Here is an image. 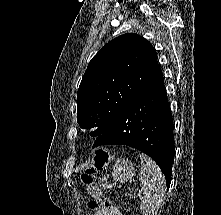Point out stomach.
<instances>
[{
	"label": "stomach",
	"instance_id": "0dacf381",
	"mask_svg": "<svg viewBox=\"0 0 221 215\" xmlns=\"http://www.w3.org/2000/svg\"><path fill=\"white\" fill-rule=\"evenodd\" d=\"M112 170L111 174L102 177V186L104 188H110L117 182L124 183L128 180H132L135 175L133 164L124 158L116 159ZM110 178H112L113 182L109 180Z\"/></svg>",
	"mask_w": 221,
	"mask_h": 215
}]
</instances>
